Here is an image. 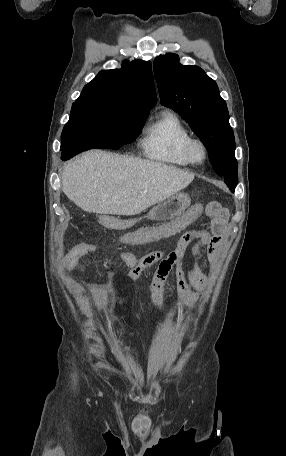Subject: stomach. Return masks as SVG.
I'll return each mask as SVG.
<instances>
[{
    "mask_svg": "<svg viewBox=\"0 0 286 456\" xmlns=\"http://www.w3.org/2000/svg\"><path fill=\"white\" fill-rule=\"evenodd\" d=\"M191 199L185 193H176L154 206L147 217L153 220H168L180 216L190 206Z\"/></svg>",
    "mask_w": 286,
    "mask_h": 456,
    "instance_id": "obj_1",
    "label": "stomach"
}]
</instances>
